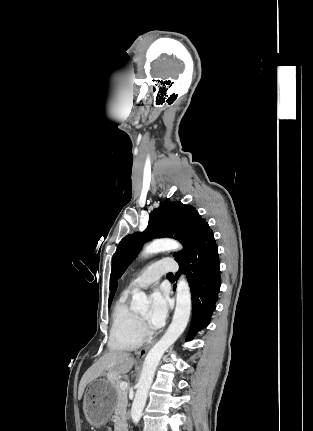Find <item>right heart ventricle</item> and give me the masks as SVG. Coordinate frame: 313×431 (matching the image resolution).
<instances>
[{
    "mask_svg": "<svg viewBox=\"0 0 313 431\" xmlns=\"http://www.w3.org/2000/svg\"><path fill=\"white\" fill-rule=\"evenodd\" d=\"M109 346L113 350L130 351L138 348L144 339L137 313L126 298L115 304L112 316Z\"/></svg>",
    "mask_w": 313,
    "mask_h": 431,
    "instance_id": "obj_1",
    "label": "right heart ventricle"
}]
</instances>
